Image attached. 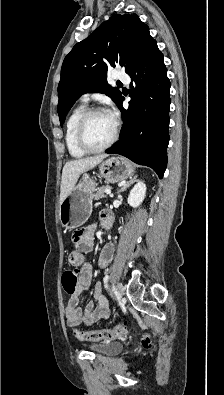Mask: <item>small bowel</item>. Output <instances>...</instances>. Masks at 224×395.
Here are the masks:
<instances>
[{"label":"small bowel","mask_w":224,"mask_h":395,"mask_svg":"<svg viewBox=\"0 0 224 395\" xmlns=\"http://www.w3.org/2000/svg\"><path fill=\"white\" fill-rule=\"evenodd\" d=\"M104 211L100 213V221L103 223ZM94 227H86L77 230L72 238L75 249L70 253L69 261L81 267L79 273V282L76 291L71 294L65 307V320L70 328H77L81 325H91L96 320L107 319L110 314L108 300L103 294L100 283H96L93 287L94 301L86 304L84 309L79 306L80 294L91 286L92 268L85 261V254L93 247ZM114 255V246L106 245L99 259L101 268L107 266Z\"/></svg>","instance_id":"1"}]
</instances>
